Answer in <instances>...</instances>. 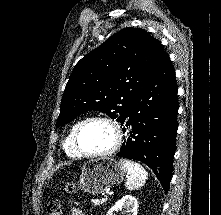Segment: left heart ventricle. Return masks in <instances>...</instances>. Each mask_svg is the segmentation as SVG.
<instances>
[{
    "instance_id": "1",
    "label": "left heart ventricle",
    "mask_w": 221,
    "mask_h": 215,
    "mask_svg": "<svg viewBox=\"0 0 221 215\" xmlns=\"http://www.w3.org/2000/svg\"><path fill=\"white\" fill-rule=\"evenodd\" d=\"M114 141L111 127L101 121L89 123L80 133L79 144L83 151L100 153L109 149Z\"/></svg>"
}]
</instances>
